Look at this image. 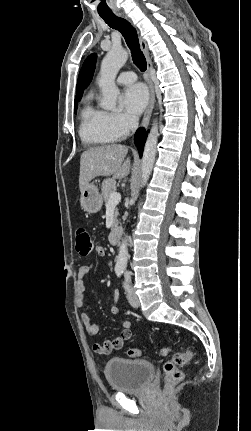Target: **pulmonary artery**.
<instances>
[{
    "label": "pulmonary artery",
    "mask_w": 251,
    "mask_h": 431,
    "mask_svg": "<svg viewBox=\"0 0 251 431\" xmlns=\"http://www.w3.org/2000/svg\"><path fill=\"white\" fill-rule=\"evenodd\" d=\"M137 79L136 74L132 71L121 72L117 77L119 84H130Z\"/></svg>",
    "instance_id": "pulmonary-artery-1"
}]
</instances>
